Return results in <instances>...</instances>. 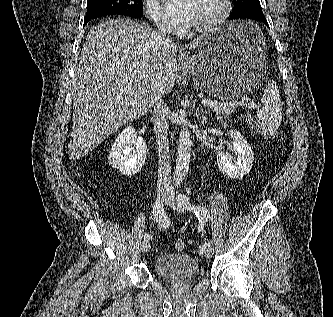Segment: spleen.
I'll list each match as a JSON object with an SVG mask.
<instances>
[{
	"label": "spleen",
	"mask_w": 333,
	"mask_h": 317,
	"mask_svg": "<svg viewBox=\"0 0 333 317\" xmlns=\"http://www.w3.org/2000/svg\"><path fill=\"white\" fill-rule=\"evenodd\" d=\"M259 31V27L255 25ZM263 108L257 112V120L263 131L273 134L278 130L282 120V102L278 86L270 80L261 97Z\"/></svg>",
	"instance_id": "obj_1"
}]
</instances>
